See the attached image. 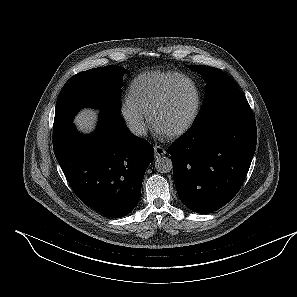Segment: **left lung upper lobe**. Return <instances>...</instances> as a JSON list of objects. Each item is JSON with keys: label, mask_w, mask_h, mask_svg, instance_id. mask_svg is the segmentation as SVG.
<instances>
[{"label": "left lung upper lobe", "mask_w": 297, "mask_h": 297, "mask_svg": "<svg viewBox=\"0 0 297 297\" xmlns=\"http://www.w3.org/2000/svg\"><path fill=\"white\" fill-rule=\"evenodd\" d=\"M188 67L198 72L206 82L204 103L194 123H201L205 112L214 116L227 107L247 103L235 82L222 70L199 65Z\"/></svg>", "instance_id": "5c2ea615"}]
</instances>
